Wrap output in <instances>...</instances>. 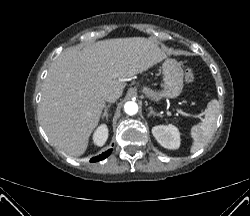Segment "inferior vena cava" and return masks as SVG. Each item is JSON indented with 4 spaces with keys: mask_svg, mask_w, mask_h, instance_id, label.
Instances as JSON below:
<instances>
[{
    "mask_svg": "<svg viewBox=\"0 0 250 216\" xmlns=\"http://www.w3.org/2000/svg\"><path fill=\"white\" fill-rule=\"evenodd\" d=\"M122 92L118 89H110L104 94V99L107 102H115L120 96Z\"/></svg>",
    "mask_w": 250,
    "mask_h": 216,
    "instance_id": "1",
    "label": "inferior vena cava"
}]
</instances>
